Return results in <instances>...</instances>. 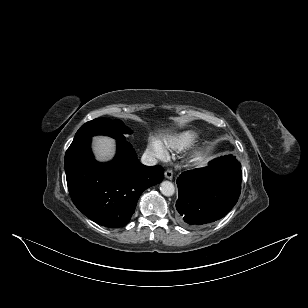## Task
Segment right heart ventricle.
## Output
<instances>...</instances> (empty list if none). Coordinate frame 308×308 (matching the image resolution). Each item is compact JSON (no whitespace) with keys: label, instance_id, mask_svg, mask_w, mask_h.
Masks as SVG:
<instances>
[{"label":"right heart ventricle","instance_id":"1","mask_svg":"<svg viewBox=\"0 0 308 308\" xmlns=\"http://www.w3.org/2000/svg\"><path fill=\"white\" fill-rule=\"evenodd\" d=\"M195 138V132L183 130L177 133L164 135L158 143L164 150H181L190 145Z\"/></svg>","mask_w":308,"mask_h":308}]
</instances>
